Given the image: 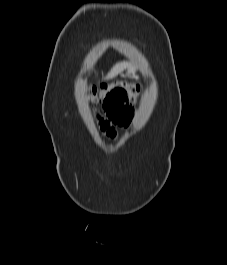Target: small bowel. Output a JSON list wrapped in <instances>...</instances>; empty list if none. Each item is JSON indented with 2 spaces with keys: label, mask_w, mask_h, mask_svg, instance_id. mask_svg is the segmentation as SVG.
I'll use <instances>...</instances> for the list:
<instances>
[{
  "label": "small bowel",
  "mask_w": 227,
  "mask_h": 265,
  "mask_svg": "<svg viewBox=\"0 0 227 265\" xmlns=\"http://www.w3.org/2000/svg\"><path fill=\"white\" fill-rule=\"evenodd\" d=\"M92 117H97L98 124L100 129L110 138H115L117 132L115 128L109 124V120H105V116H103V112L101 110H93Z\"/></svg>",
  "instance_id": "c3829d8e"
}]
</instances>
